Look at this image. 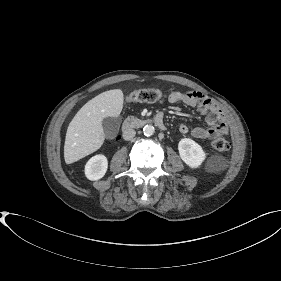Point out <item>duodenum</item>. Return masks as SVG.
Instances as JSON below:
<instances>
[{
    "label": "duodenum",
    "instance_id": "1",
    "mask_svg": "<svg viewBox=\"0 0 281 281\" xmlns=\"http://www.w3.org/2000/svg\"><path fill=\"white\" fill-rule=\"evenodd\" d=\"M152 123L160 130H166L167 126L164 122V119L161 115H155L154 117L146 120H137V119H129L123 124V131H127L131 128H140L146 124Z\"/></svg>",
    "mask_w": 281,
    "mask_h": 281
}]
</instances>
